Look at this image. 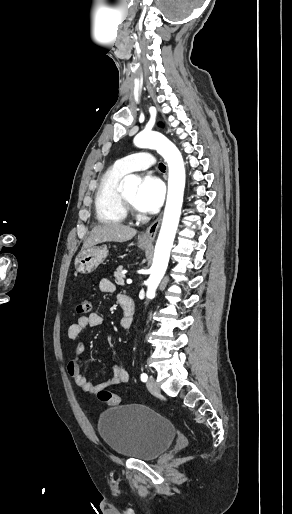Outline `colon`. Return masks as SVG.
Wrapping results in <instances>:
<instances>
[{"instance_id":"obj_1","label":"colon","mask_w":292,"mask_h":514,"mask_svg":"<svg viewBox=\"0 0 292 514\" xmlns=\"http://www.w3.org/2000/svg\"><path fill=\"white\" fill-rule=\"evenodd\" d=\"M90 309L91 303L88 299H81L75 304V311L78 314H88ZM98 398L102 403L111 407H116L121 403V398L118 395L106 389H102L98 392Z\"/></svg>"}]
</instances>
